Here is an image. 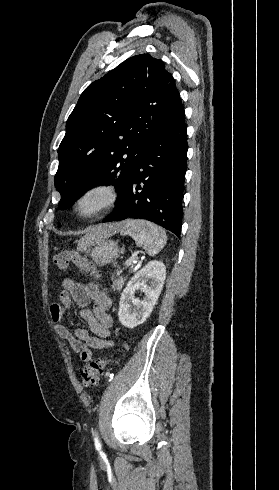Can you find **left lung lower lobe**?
<instances>
[{
	"instance_id": "0a47b994",
	"label": "left lung lower lobe",
	"mask_w": 279,
	"mask_h": 490,
	"mask_svg": "<svg viewBox=\"0 0 279 490\" xmlns=\"http://www.w3.org/2000/svg\"><path fill=\"white\" fill-rule=\"evenodd\" d=\"M187 148L180 102L146 140L117 206L103 222L145 219L180 238Z\"/></svg>"
}]
</instances>
